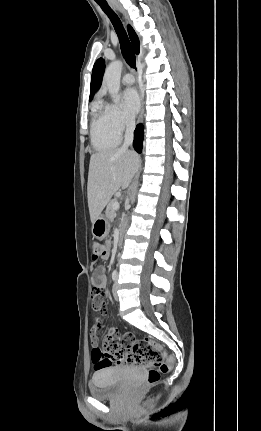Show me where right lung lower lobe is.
<instances>
[{
  "label": "right lung lower lobe",
  "instance_id": "obj_1",
  "mask_svg": "<svg viewBox=\"0 0 261 431\" xmlns=\"http://www.w3.org/2000/svg\"><path fill=\"white\" fill-rule=\"evenodd\" d=\"M142 144H143V125L139 124L135 129L134 142H133L135 150L139 153H141L142 151Z\"/></svg>",
  "mask_w": 261,
  "mask_h": 431
}]
</instances>
